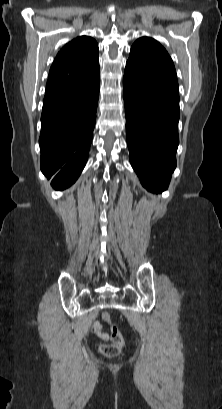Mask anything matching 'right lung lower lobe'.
Instances as JSON below:
<instances>
[{
    "label": "right lung lower lobe",
    "mask_w": 222,
    "mask_h": 409,
    "mask_svg": "<svg viewBox=\"0 0 222 409\" xmlns=\"http://www.w3.org/2000/svg\"><path fill=\"white\" fill-rule=\"evenodd\" d=\"M99 71L86 87L59 97L44 98L41 115V171L55 190L71 186L82 172L92 141L99 97Z\"/></svg>",
    "instance_id": "right-lung-lower-lobe-1"
}]
</instances>
